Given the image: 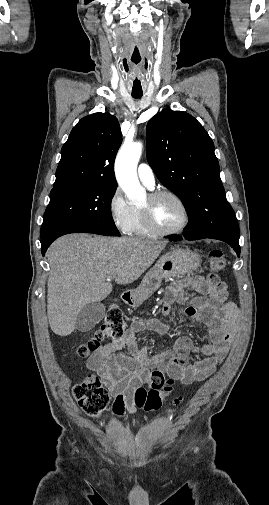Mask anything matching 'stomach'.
I'll return each instance as SVG.
<instances>
[{
  "label": "stomach",
  "instance_id": "stomach-1",
  "mask_svg": "<svg viewBox=\"0 0 269 505\" xmlns=\"http://www.w3.org/2000/svg\"><path fill=\"white\" fill-rule=\"evenodd\" d=\"M200 255L188 249H175L163 255L142 279L134 306L153 294L161 286L163 279L181 278L196 271L200 266Z\"/></svg>",
  "mask_w": 269,
  "mask_h": 505
}]
</instances>
